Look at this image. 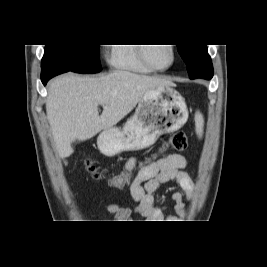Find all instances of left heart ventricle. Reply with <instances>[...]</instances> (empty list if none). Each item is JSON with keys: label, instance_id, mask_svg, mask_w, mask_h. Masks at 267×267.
I'll use <instances>...</instances> for the list:
<instances>
[{"label": "left heart ventricle", "instance_id": "b2bd125f", "mask_svg": "<svg viewBox=\"0 0 267 267\" xmlns=\"http://www.w3.org/2000/svg\"><path fill=\"white\" fill-rule=\"evenodd\" d=\"M148 54L152 63L158 67H166L171 62L172 53L167 44L151 46Z\"/></svg>", "mask_w": 267, "mask_h": 267}]
</instances>
